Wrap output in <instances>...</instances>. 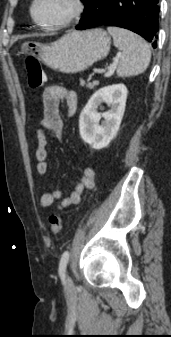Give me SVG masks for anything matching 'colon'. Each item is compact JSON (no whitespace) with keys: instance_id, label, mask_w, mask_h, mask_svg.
Returning <instances> with one entry per match:
<instances>
[{"instance_id":"colon-1","label":"colon","mask_w":171,"mask_h":337,"mask_svg":"<svg viewBox=\"0 0 171 337\" xmlns=\"http://www.w3.org/2000/svg\"><path fill=\"white\" fill-rule=\"evenodd\" d=\"M25 68L28 75V83L32 88H40L45 82V72L41 62L35 57H29L25 61ZM63 221L60 215L53 214L49 218V227L52 233L61 232Z\"/></svg>"}]
</instances>
